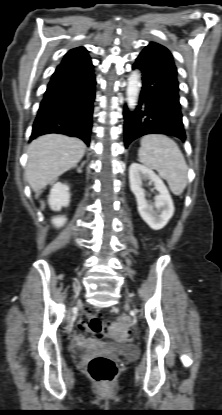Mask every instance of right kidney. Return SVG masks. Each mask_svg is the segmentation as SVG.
I'll return each mask as SVG.
<instances>
[{
	"mask_svg": "<svg viewBox=\"0 0 222 415\" xmlns=\"http://www.w3.org/2000/svg\"><path fill=\"white\" fill-rule=\"evenodd\" d=\"M70 202L69 187L66 184L57 182L50 190L48 203L52 210L60 211L62 207L68 206ZM66 218L64 216L55 217L52 219V223L56 227H61L65 224Z\"/></svg>",
	"mask_w": 222,
	"mask_h": 415,
	"instance_id": "obj_1",
	"label": "right kidney"
}]
</instances>
